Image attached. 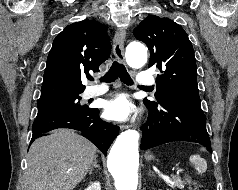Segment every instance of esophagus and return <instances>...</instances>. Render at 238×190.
I'll return each mask as SVG.
<instances>
[{
  "label": "esophagus",
  "instance_id": "34e87169",
  "mask_svg": "<svg viewBox=\"0 0 238 190\" xmlns=\"http://www.w3.org/2000/svg\"><path fill=\"white\" fill-rule=\"evenodd\" d=\"M126 37V31L123 28H119L114 37V45H113V53L116 60L123 64L125 57H124V41ZM128 125H121L120 129L124 130L127 129Z\"/></svg>",
  "mask_w": 238,
  "mask_h": 190
}]
</instances>
